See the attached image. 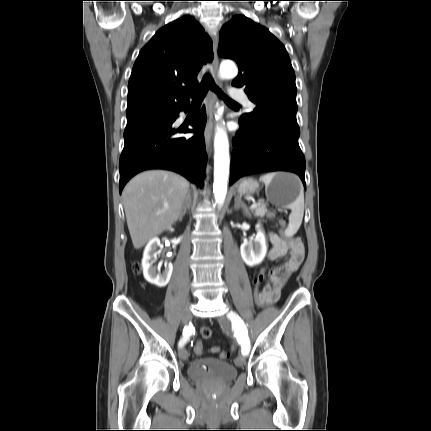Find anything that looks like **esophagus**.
Instances as JSON below:
<instances>
[{
    "instance_id": "34e87169",
    "label": "esophagus",
    "mask_w": 431,
    "mask_h": 431,
    "mask_svg": "<svg viewBox=\"0 0 431 431\" xmlns=\"http://www.w3.org/2000/svg\"><path fill=\"white\" fill-rule=\"evenodd\" d=\"M212 40H213L214 57H213V60L210 64V72H211L212 77L215 79V81L218 82V80H217V73H218V66H219V60H218V55H217L218 35L213 34ZM215 102H216V95L214 93L210 92L208 94V97H207V123H206L205 131H204L205 143H206V147H207L209 154L211 152V143H212V138H213V134H214Z\"/></svg>"
}]
</instances>
